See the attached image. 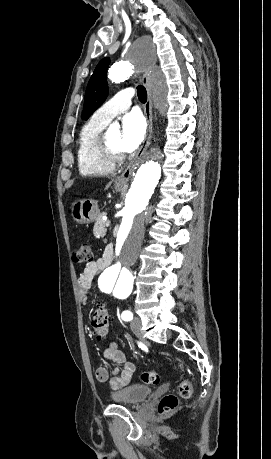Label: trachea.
Wrapping results in <instances>:
<instances>
[{
    "label": "trachea",
    "instance_id": "trachea-1",
    "mask_svg": "<svg viewBox=\"0 0 271 459\" xmlns=\"http://www.w3.org/2000/svg\"><path fill=\"white\" fill-rule=\"evenodd\" d=\"M137 94L140 102L145 103L147 101V91L142 85L137 87Z\"/></svg>",
    "mask_w": 271,
    "mask_h": 459
}]
</instances>
